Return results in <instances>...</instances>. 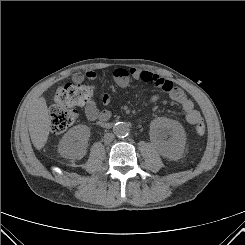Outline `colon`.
I'll use <instances>...</instances> for the list:
<instances>
[{"label": "colon", "instance_id": "5ec220e1", "mask_svg": "<svg viewBox=\"0 0 245 245\" xmlns=\"http://www.w3.org/2000/svg\"><path fill=\"white\" fill-rule=\"evenodd\" d=\"M94 94V86L88 83H67L57 89L53 104L50 107L51 130L53 133H62L76 120L75 106L83 105ZM198 136L205 133V124L200 121L194 128Z\"/></svg>", "mask_w": 245, "mask_h": 245}]
</instances>
